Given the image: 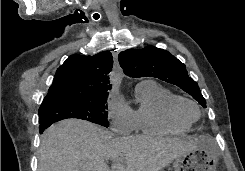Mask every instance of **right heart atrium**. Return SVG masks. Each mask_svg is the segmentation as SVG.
I'll return each mask as SVG.
<instances>
[{
    "label": "right heart atrium",
    "mask_w": 245,
    "mask_h": 171,
    "mask_svg": "<svg viewBox=\"0 0 245 171\" xmlns=\"http://www.w3.org/2000/svg\"><path fill=\"white\" fill-rule=\"evenodd\" d=\"M107 118L111 129L116 133L128 134L135 128L132 110L116 92L109 94L107 100Z\"/></svg>",
    "instance_id": "right-heart-atrium-1"
}]
</instances>
